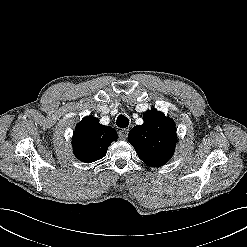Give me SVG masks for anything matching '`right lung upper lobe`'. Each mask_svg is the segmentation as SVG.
<instances>
[{
    "label": "right lung upper lobe",
    "mask_w": 247,
    "mask_h": 247,
    "mask_svg": "<svg viewBox=\"0 0 247 247\" xmlns=\"http://www.w3.org/2000/svg\"><path fill=\"white\" fill-rule=\"evenodd\" d=\"M117 140V132L99 123L95 117L87 116L76 126L72 138L75 156L82 162L91 163L103 158L108 146Z\"/></svg>",
    "instance_id": "right-lung-upper-lobe-1"
}]
</instances>
